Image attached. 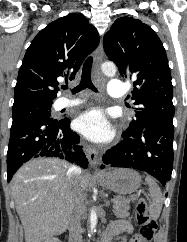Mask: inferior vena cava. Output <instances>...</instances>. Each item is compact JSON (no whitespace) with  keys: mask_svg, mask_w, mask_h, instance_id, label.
Listing matches in <instances>:
<instances>
[{"mask_svg":"<svg viewBox=\"0 0 187 242\" xmlns=\"http://www.w3.org/2000/svg\"><path fill=\"white\" fill-rule=\"evenodd\" d=\"M81 174V169L77 166L69 167L67 176L70 180H76ZM84 211V196L80 188H75L72 214L69 223V242H83L81 230V217Z\"/></svg>","mask_w":187,"mask_h":242,"instance_id":"1","label":"inferior vena cava"}]
</instances>
